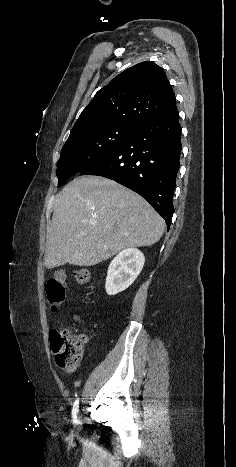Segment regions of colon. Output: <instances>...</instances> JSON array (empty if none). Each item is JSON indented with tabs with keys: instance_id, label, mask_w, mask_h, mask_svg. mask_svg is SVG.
I'll return each instance as SVG.
<instances>
[{
	"instance_id": "1",
	"label": "colon",
	"mask_w": 236,
	"mask_h": 467,
	"mask_svg": "<svg viewBox=\"0 0 236 467\" xmlns=\"http://www.w3.org/2000/svg\"><path fill=\"white\" fill-rule=\"evenodd\" d=\"M73 275L78 284L87 283L89 278V272L86 269H76ZM65 282L66 273L58 270L46 283L47 301L52 311H57L64 303ZM50 340L57 365L67 372L75 371L83 356L86 337L65 329L53 331Z\"/></svg>"
}]
</instances>
